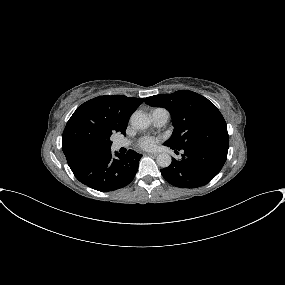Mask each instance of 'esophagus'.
Wrapping results in <instances>:
<instances>
[{
	"label": "esophagus",
	"mask_w": 285,
	"mask_h": 285,
	"mask_svg": "<svg viewBox=\"0 0 285 285\" xmlns=\"http://www.w3.org/2000/svg\"><path fill=\"white\" fill-rule=\"evenodd\" d=\"M148 156L156 157L157 153H147Z\"/></svg>",
	"instance_id": "esophagus-1"
}]
</instances>
